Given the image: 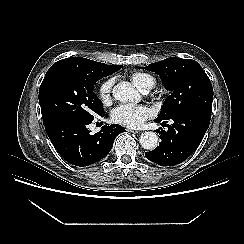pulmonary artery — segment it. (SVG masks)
Wrapping results in <instances>:
<instances>
[{
  "mask_svg": "<svg viewBox=\"0 0 244 244\" xmlns=\"http://www.w3.org/2000/svg\"><path fill=\"white\" fill-rule=\"evenodd\" d=\"M154 86V82H152L151 84H149L146 88H144L142 90L143 93H148Z\"/></svg>",
  "mask_w": 244,
  "mask_h": 244,
  "instance_id": "e3ab8cb5",
  "label": "pulmonary artery"
}]
</instances>
